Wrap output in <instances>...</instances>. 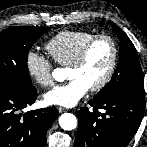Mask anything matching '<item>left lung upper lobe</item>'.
Returning a JSON list of instances; mask_svg holds the SVG:
<instances>
[{
  "label": "left lung upper lobe",
  "instance_id": "1",
  "mask_svg": "<svg viewBox=\"0 0 147 147\" xmlns=\"http://www.w3.org/2000/svg\"><path fill=\"white\" fill-rule=\"evenodd\" d=\"M110 25L120 40L119 64L110 82L94 98L108 99L117 95L145 98L144 78L137 51L128 36L113 22Z\"/></svg>",
  "mask_w": 147,
  "mask_h": 147
}]
</instances>
